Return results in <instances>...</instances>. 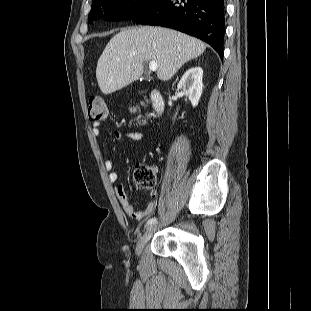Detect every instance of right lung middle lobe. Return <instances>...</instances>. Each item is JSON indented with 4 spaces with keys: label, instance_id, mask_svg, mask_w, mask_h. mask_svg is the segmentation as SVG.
I'll return each instance as SVG.
<instances>
[{
    "label": "right lung middle lobe",
    "instance_id": "obj_1",
    "mask_svg": "<svg viewBox=\"0 0 311 311\" xmlns=\"http://www.w3.org/2000/svg\"><path fill=\"white\" fill-rule=\"evenodd\" d=\"M159 0H95L88 15V22L104 18L108 21L128 20Z\"/></svg>",
    "mask_w": 311,
    "mask_h": 311
}]
</instances>
